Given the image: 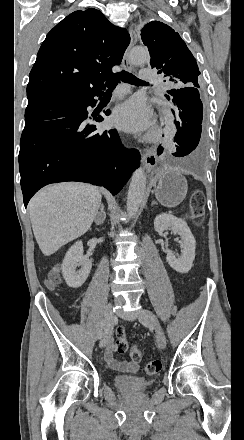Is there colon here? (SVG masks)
Returning <instances> with one entry per match:
<instances>
[{"label":"colon","instance_id":"5ec220e1","mask_svg":"<svg viewBox=\"0 0 244 440\" xmlns=\"http://www.w3.org/2000/svg\"><path fill=\"white\" fill-rule=\"evenodd\" d=\"M191 204V218L195 225H200L204 216V200L201 192L197 191L193 194L190 201ZM60 278L56 274H50L47 278L49 285L58 284ZM129 349V356L134 363H139L143 358V352L138 345L129 346L124 329L119 327L117 329V339L115 342V350L119 354L125 353ZM162 364L157 359L148 360L144 364V371L148 376H155L161 372Z\"/></svg>","mask_w":244,"mask_h":440}]
</instances>
